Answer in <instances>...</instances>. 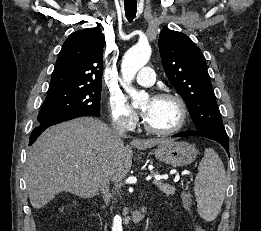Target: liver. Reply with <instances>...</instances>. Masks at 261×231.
<instances>
[{
  "label": "liver",
  "instance_id": "6515ba94",
  "mask_svg": "<svg viewBox=\"0 0 261 231\" xmlns=\"http://www.w3.org/2000/svg\"><path fill=\"white\" fill-rule=\"evenodd\" d=\"M122 138L98 119L82 117L48 128L30 148L25 179L31 205L42 208L60 192L83 198L98 194L105 173L120 182L132 166ZM167 139H134L138 149L151 148Z\"/></svg>",
  "mask_w": 261,
  "mask_h": 231
}]
</instances>
